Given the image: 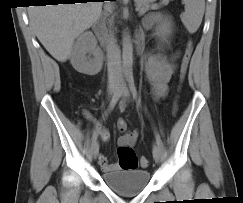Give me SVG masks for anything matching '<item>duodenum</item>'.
I'll return each mask as SVG.
<instances>
[{
	"instance_id": "1",
	"label": "duodenum",
	"mask_w": 243,
	"mask_h": 203,
	"mask_svg": "<svg viewBox=\"0 0 243 203\" xmlns=\"http://www.w3.org/2000/svg\"><path fill=\"white\" fill-rule=\"evenodd\" d=\"M92 29H93L94 33L96 34V36L101 38L103 36V32H104L103 19L96 21L94 23Z\"/></svg>"
}]
</instances>
